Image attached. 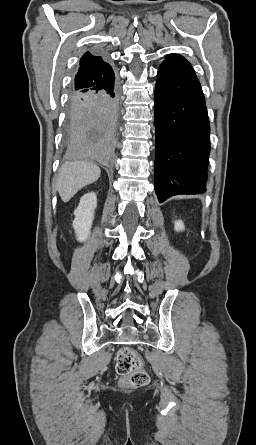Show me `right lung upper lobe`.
<instances>
[{
    "label": "right lung upper lobe",
    "mask_w": 256,
    "mask_h": 445,
    "mask_svg": "<svg viewBox=\"0 0 256 445\" xmlns=\"http://www.w3.org/2000/svg\"><path fill=\"white\" fill-rule=\"evenodd\" d=\"M112 66L102 56L86 52L80 59L75 75L72 94L84 89H96L109 81L113 75Z\"/></svg>",
    "instance_id": "obj_1"
}]
</instances>
